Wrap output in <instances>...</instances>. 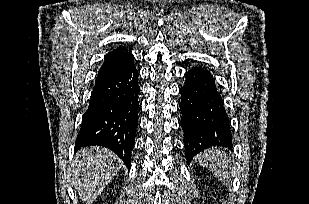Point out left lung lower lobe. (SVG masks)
Here are the masks:
<instances>
[{
	"label": "left lung lower lobe",
	"mask_w": 309,
	"mask_h": 204,
	"mask_svg": "<svg viewBox=\"0 0 309 204\" xmlns=\"http://www.w3.org/2000/svg\"><path fill=\"white\" fill-rule=\"evenodd\" d=\"M179 92L187 163L212 146L232 149L230 121L211 73L204 67H193L186 72Z\"/></svg>",
	"instance_id": "0a47b994"
}]
</instances>
